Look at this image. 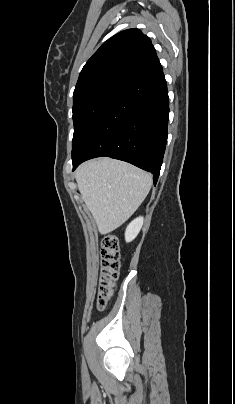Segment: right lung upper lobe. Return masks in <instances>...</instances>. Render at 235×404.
I'll return each instance as SVG.
<instances>
[{
	"label": "right lung upper lobe",
	"instance_id": "cb5924a9",
	"mask_svg": "<svg viewBox=\"0 0 235 404\" xmlns=\"http://www.w3.org/2000/svg\"><path fill=\"white\" fill-rule=\"evenodd\" d=\"M151 40L138 29L124 30L108 39L84 65L74 94L104 82H126L158 68Z\"/></svg>",
	"mask_w": 235,
	"mask_h": 404
}]
</instances>
